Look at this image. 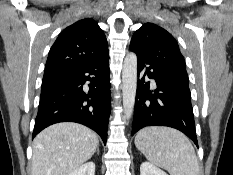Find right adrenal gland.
<instances>
[{
  "label": "right adrenal gland",
  "instance_id": "right-adrenal-gland-1",
  "mask_svg": "<svg viewBox=\"0 0 233 175\" xmlns=\"http://www.w3.org/2000/svg\"><path fill=\"white\" fill-rule=\"evenodd\" d=\"M100 151H99V146L97 147V154L99 155Z\"/></svg>",
  "mask_w": 233,
  "mask_h": 175
}]
</instances>
